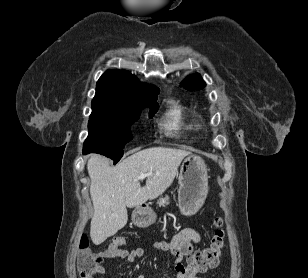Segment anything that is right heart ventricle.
<instances>
[{
    "label": "right heart ventricle",
    "mask_w": 308,
    "mask_h": 278,
    "mask_svg": "<svg viewBox=\"0 0 308 278\" xmlns=\"http://www.w3.org/2000/svg\"><path fill=\"white\" fill-rule=\"evenodd\" d=\"M160 126L167 133L173 135L188 134L198 129L196 120L177 103H171L168 106Z\"/></svg>",
    "instance_id": "e07e8e85"
}]
</instances>
